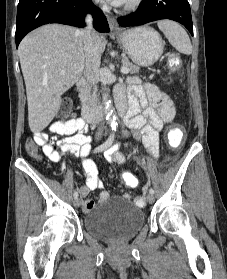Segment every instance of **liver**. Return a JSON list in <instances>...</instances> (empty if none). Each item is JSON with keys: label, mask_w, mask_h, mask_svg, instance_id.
<instances>
[{"label": "liver", "mask_w": 227, "mask_h": 279, "mask_svg": "<svg viewBox=\"0 0 227 279\" xmlns=\"http://www.w3.org/2000/svg\"><path fill=\"white\" fill-rule=\"evenodd\" d=\"M95 37L101 54L106 39L96 32ZM18 55L26 85L29 127L39 133L59 111L61 96L82 76L85 35L83 30L66 25H44L24 37Z\"/></svg>", "instance_id": "liver-1"}]
</instances>
